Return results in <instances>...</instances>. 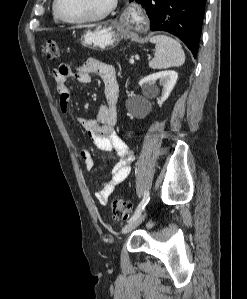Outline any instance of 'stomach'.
<instances>
[{
  "label": "stomach",
  "instance_id": "stomach-1",
  "mask_svg": "<svg viewBox=\"0 0 247 299\" xmlns=\"http://www.w3.org/2000/svg\"><path fill=\"white\" fill-rule=\"evenodd\" d=\"M125 35L123 26L118 22L97 24L81 36L84 47L95 50H109L117 46Z\"/></svg>",
  "mask_w": 247,
  "mask_h": 299
}]
</instances>
